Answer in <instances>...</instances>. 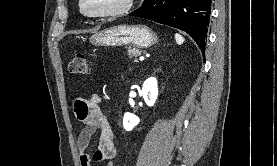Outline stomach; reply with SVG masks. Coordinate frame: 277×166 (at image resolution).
I'll return each instance as SVG.
<instances>
[{
  "label": "stomach",
  "mask_w": 277,
  "mask_h": 166,
  "mask_svg": "<svg viewBox=\"0 0 277 166\" xmlns=\"http://www.w3.org/2000/svg\"><path fill=\"white\" fill-rule=\"evenodd\" d=\"M158 42L157 35L144 25H117L95 33L91 43L96 46L134 45L138 48H148Z\"/></svg>",
  "instance_id": "1"
}]
</instances>
